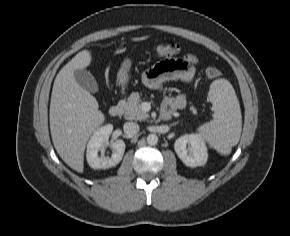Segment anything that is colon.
Wrapping results in <instances>:
<instances>
[{"label": "colon", "instance_id": "5ec220e1", "mask_svg": "<svg viewBox=\"0 0 290 236\" xmlns=\"http://www.w3.org/2000/svg\"><path fill=\"white\" fill-rule=\"evenodd\" d=\"M155 51L159 57L170 58L177 55L180 52V46L175 42H168L158 45ZM205 73L206 76L210 79L218 78L221 75L220 69L212 66L208 67Z\"/></svg>", "mask_w": 290, "mask_h": 236}]
</instances>
